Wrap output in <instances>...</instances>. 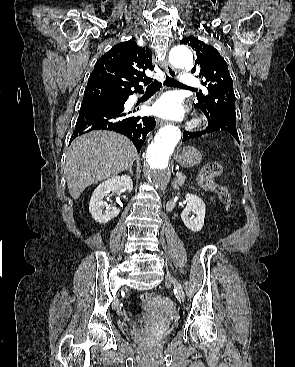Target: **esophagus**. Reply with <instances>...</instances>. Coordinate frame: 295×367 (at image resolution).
<instances>
[{"instance_id": "esophagus-1", "label": "esophagus", "mask_w": 295, "mask_h": 367, "mask_svg": "<svg viewBox=\"0 0 295 367\" xmlns=\"http://www.w3.org/2000/svg\"><path fill=\"white\" fill-rule=\"evenodd\" d=\"M166 73L170 76V77H176L177 76V71L167 62L164 61L163 62ZM157 124L159 126H163L166 124V122L164 120L161 119H157Z\"/></svg>"}]
</instances>
